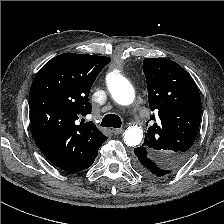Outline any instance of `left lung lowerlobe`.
I'll return each instance as SVG.
<instances>
[{
	"mask_svg": "<svg viewBox=\"0 0 224 224\" xmlns=\"http://www.w3.org/2000/svg\"><path fill=\"white\" fill-rule=\"evenodd\" d=\"M135 160L134 166L136 170L145 177L155 178L165 175V171L149 157L148 152L143 147L134 149Z\"/></svg>",
	"mask_w": 224,
	"mask_h": 224,
	"instance_id": "left-lung-lower-lobe-1",
	"label": "left lung lower lobe"
}]
</instances>
